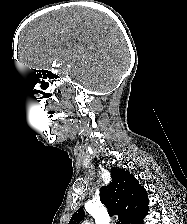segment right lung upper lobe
<instances>
[{"label":"right lung upper lobe","mask_w":187,"mask_h":224,"mask_svg":"<svg viewBox=\"0 0 187 224\" xmlns=\"http://www.w3.org/2000/svg\"><path fill=\"white\" fill-rule=\"evenodd\" d=\"M112 182L100 190V200L108 209L109 215H118L117 224H134L147 210V192L137 179L124 169L111 168ZM85 213L80 207L69 224H79Z\"/></svg>","instance_id":"right-lung-upper-lobe-1"}]
</instances>
